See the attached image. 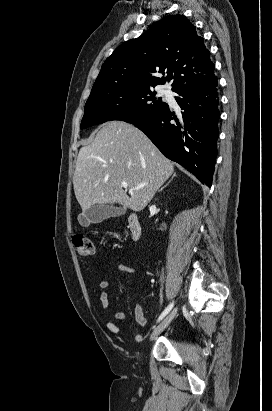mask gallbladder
Returning <instances> with one entry per match:
<instances>
[{"label":"gallbladder","mask_w":272,"mask_h":411,"mask_svg":"<svg viewBox=\"0 0 272 411\" xmlns=\"http://www.w3.org/2000/svg\"><path fill=\"white\" fill-rule=\"evenodd\" d=\"M125 208H115L107 204L93 206L79 215L78 221L81 226L88 227L90 224H98L111 217H119L125 213Z\"/></svg>","instance_id":"bac80fb5"}]
</instances>
